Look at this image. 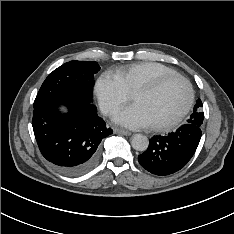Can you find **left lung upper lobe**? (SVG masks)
Returning <instances> with one entry per match:
<instances>
[{"instance_id":"5c2ea615","label":"left lung upper lobe","mask_w":234,"mask_h":234,"mask_svg":"<svg viewBox=\"0 0 234 234\" xmlns=\"http://www.w3.org/2000/svg\"><path fill=\"white\" fill-rule=\"evenodd\" d=\"M202 106L203 104L201 100L198 99L197 103L194 106L193 113L190 115V118L188 119L187 123L202 127L203 119H204V113L201 111Z\"/></svg>"}]
</instances>
